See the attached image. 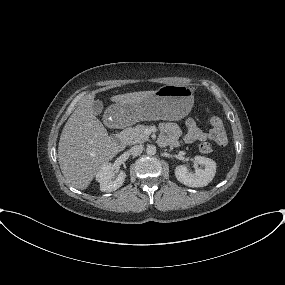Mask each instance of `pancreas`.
Listing matches in <instances>:
<instances>
[{"mask_svg": "<svg viewBox=\"0 0 285 285\" xmlns=\"http://www.w3.org/2000/svg\"><path fill=\"white\" fill-rule=\"evenodd\" d=\"M147 126L138 124L135 127H129L121 132V138L124 144L134 145L144 143L149 140V136L145 134Z\"/></svg>", "mask_w": 285, "mask_h": 285, "instance_id": "pancreas-1", "label": "pancreas"}]
</instances>
